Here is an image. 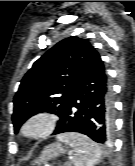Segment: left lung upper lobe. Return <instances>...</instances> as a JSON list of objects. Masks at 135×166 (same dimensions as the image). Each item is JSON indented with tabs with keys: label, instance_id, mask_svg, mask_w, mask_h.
<instances>
[{
	"label": "left lung upper lobe",
	"instance_id": "left-lung-upper-lobe-1",
	"mask_svg": "<svg viewBox=\"0 0 135 166\" xmlns=\"http://www.w3.org/2000/svg\"><path fill=\"white\" fill-rule=\"evenodd\" d=\"M95 48L86 39L66 38L42 55L23 77L14 97L15 132L31 116L48 112L60 116Z\"/></svg>",
	"mask_w": 135,
	"mask_h": 166
}]
</instances>
